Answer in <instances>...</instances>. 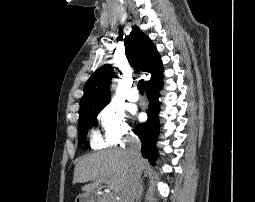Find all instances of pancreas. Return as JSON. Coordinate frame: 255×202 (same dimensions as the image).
<instances>
[{"label": "pancreas", "mask_w": 255, "mask_h": 202, "mask_svg": "<svg viewBox=\"0 0 255 202\" xmlns=\"http://www.w3.org/2000/svg\"><path fill=\"white\" fill-rule=\"evenodd\" d=\"M99 202H116L115 199L110 195H103Z\"/></svg>", "instance_id": "obj_1"}]
</instances>
